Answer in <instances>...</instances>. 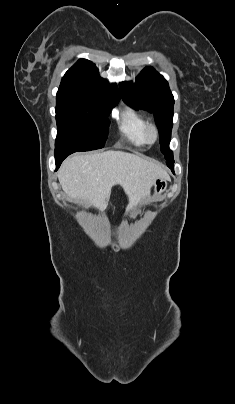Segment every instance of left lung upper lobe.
Wrapping results in <instances>:
<instances>
[{"label": "left lung upper lobe", "instance_id": "5c2ea615", "mask_svg": "<svg viewBox=\"0 0 235 404\" xmlns=\"http://www.w3.org/2000/svg\"><path fill=\"white\" fill-rule=\"evenodd\" d=\"M120 92L124 101L136 109L154 113L159 129L161 151L167 164H173V153L169 149L173 126L174 97L168 82L152 67H146L138 75L135 83L122 82Z\"/></svg>", "mask_w": 235, "mask_h": 404}]
</instances>
